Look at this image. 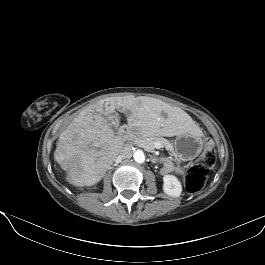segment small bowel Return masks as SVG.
Instances as JSON below:
<instances>
[{
    "label": "small bowel",
    "instance_id": "small-bowel-1",
    "mask_svg": "<svg viewBox=\"0 0 265 265\" xmlns=\"http://www.w3.org/2000/svg\"><path fill=\"white\" fill-rule=\"evenodd\" d=\"M173 170L177 171V172H181V168L178 166H175V164L173 163V161H171L170 159H164L163 160V165L161 168V173L163 175H166L170 172H172Z\"/></svg>",
    "mask_w": 265,
    "mask_h": 265
}]
</instances>
